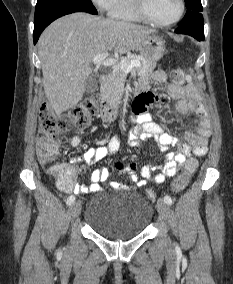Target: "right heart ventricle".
Listing matches in <instances>:
<instances>
[{
	"label": "right heart ventricle",
	"mask_w": 233,
	"mask_h": 284,
	"mask_svg": "<svg viewBox=\"0 0 233 284\" xmlns=\"http://www.w3.org/2000/svg\"><path fill=\"white\" fill-rule=\"evenodd\" d=\"M109 17L126 22H144L138 13L135 0H113L109 10Z\"/></svg>",
	"instance_id": "obj_1"
}]
</instances>
